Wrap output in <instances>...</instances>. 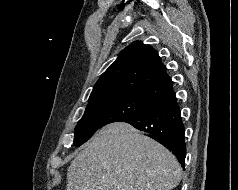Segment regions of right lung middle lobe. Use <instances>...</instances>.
Here are the masks:
<instances>
[{
	"label": "right lung middle lobe",
	"instance_id": "dd1d6c3e",
	"mask_svg": "<svg viewBox=\"0 0 238 190\" xmlns=\"http://www.w3.org/2000/svg\"><path fill=\"white\" fill-rule=\"evenodd\" d=\"M154 103L129 95H116L89 101L74 133V145L80 146L102 126L123 122Z\"/></svg>",
	"mask_w": 238,
	"mask_h": 190
}]
</instances>
